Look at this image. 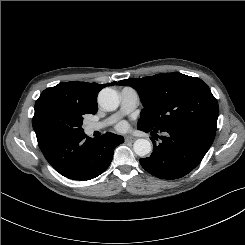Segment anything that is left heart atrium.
I'll list each match as a JSON object with an SVG mask.
<instances>
[{
  "label": "left heart atrium",
  "instance_id": "obj_1",
  "mask_svg": "<svg viewBox=\"0 0 245 245\" xmlns=\"http://www.w3.org/2000/svg\"><path fill=\"white\" fill-rule=\"evenodd\" d=\"M126 127H127V126H126V123H124V122L119 123L118 126H117V128H118L119 130H125Z\"/></svg>",
  "mask_w": 245,
  "mask_h": 245
}]
</instances>
